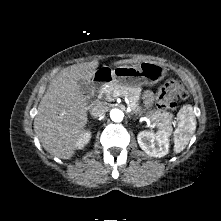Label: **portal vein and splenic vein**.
Returning a JSON list of instances; mask_svg holds the SVG:
<instances>
[{
	"instance_id": "1",
	"label": "portal vein and splenic vein",
	"mask_w": 221,
	"mask_h": 221,
	"mask_svg": "<svg viewBox=\"0 0 221 221\" xmlns=\"http://www.w3.org/2000/svg\"><path fill=\"white\" fill-rule=\"evenodd\" d=\"M126 103H128V100H126ZM145 121H146L148 124H150V120H149V119L145 118Z\"/></svg>"
}]
</instances>
